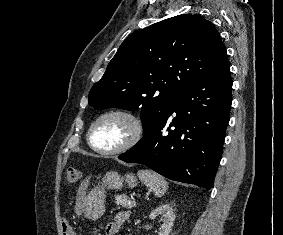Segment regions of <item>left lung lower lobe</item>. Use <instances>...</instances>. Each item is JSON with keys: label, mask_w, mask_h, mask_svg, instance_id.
<instances>
[{"label": "left lung lower lobe", "mask_w": 283, "mask_h": 235, "mask_svg": "<svg viewBox=\"0 0 283 235\" xmlns=\"http://www.w3.org/2000/svg\"><path fill=\"white\" fill-rule=\"evenodd\" d=\"M231 90L227 61L186 86L166 116L119 159L144 164L174 181L210 189L230 119Z\"/></svg>", "instance_id": "left-lung-lower-lobe-1"}]
</instances>
